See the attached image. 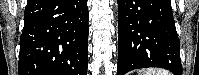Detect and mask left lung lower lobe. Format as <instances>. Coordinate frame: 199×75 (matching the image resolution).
Here are the masks:
<instances>
[{"instance_id": "obj_1", "label": "left lung lower lobe", "mask_w": 199, "mask_h": 75, "mask_svg": "<svg viewBox=\"0 0 199 75\" xmlns=\"http://www.w3.org/2000/svg\"><path fill=\"white\" fill-rule=\"evenodd\" d=\"M118 72L160 67L182 75L170 0H118Z\"/></svg>"}]
</instances>
